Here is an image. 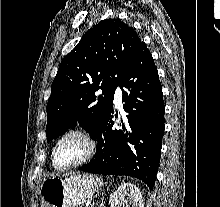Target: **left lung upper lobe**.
Returning a JSON list of instances; mask_svg holds the SVG:
<instances>
[{"label": "left lung upper lobe", "mask_w": 220, "mask_h": 207, "mask_svg": "<svg viewBox=\"0 0 220 207\" xmlns=\"http://www.w3.org/2000/svg\"><path fill=\"white\" fill-rule=\"evenodd\" d=\"M121 19L89 29L62 60L47 103V141L79 125L91 137L112 109L115 88L141 43ZM102 89V95L96 96Z\"/></svg>", "instance_id": "left-lung-upper-lobe-1"}]
</instances>
